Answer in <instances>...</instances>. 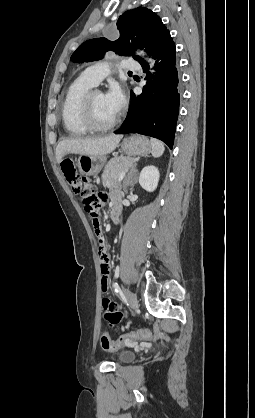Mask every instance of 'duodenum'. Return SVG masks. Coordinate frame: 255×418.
Listing matches in <instances>:
<instances>
[{
    "label": "duodenum",
    "instance_id": "obj_1",
    "mask_svg": "<svg viewBox=\"0 0 255 418\" xmlns=\"http://www.w3.org/2000/svg\"><path fill=\"white\" fill-rule=\"evenodd\" d=\"M119 215H120V209L118 207H114L112 209V219H113V221L116 222L119 218Z\"/></svg>",
    "mask_w": 255,
    "mask_h": 418
}]
</instances>
